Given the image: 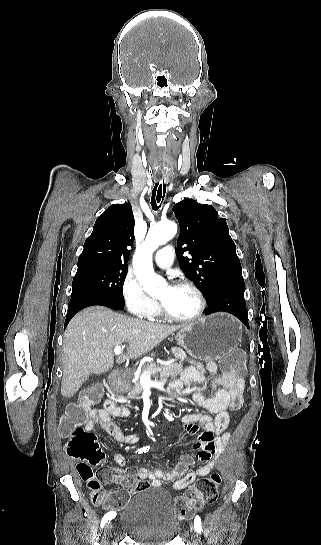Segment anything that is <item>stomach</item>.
Here are the masks:
<instances>
[{
	"mask_svg": "<svg viewBox=\"0 0 321 545\" xmlns=\"http://www.w3.org/2000/svg\"><path fill=\"white\" fill-rule=\"evenodd\" d=\"M243 331L240 321L228 313L201 317L178 331L175 339L194 359H220L237 349Z\"/></svg>",
	"mask_w": 321,
	"mask_h": 545,
	"instance_id": "1",
	"label": "stomach"
}]
</instances>
